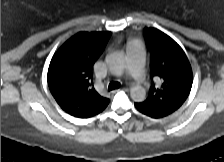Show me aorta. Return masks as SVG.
I'll list each match as a JSON object with an SVG mask.
<instances>
[{
  "label": "aorta",
  "instance_id": "aorta-1",
  "mask_svg": "<svg viewBox=\"0 0 224 162\" xmlns=\"http://www.w3.org/2000/svg\"><path fill=\"white\" fill-rule=\"evenodd\" d=\"M109 71L117 76H121L124 72L125 63L124 56L119 52L110 54L106 58ZM130 96L135 102H143L146 98V91L140 85H135L130 89Z\"/></svg>",
  "mask_w": 224,
  "mask_h": 162
}]
</instances>
